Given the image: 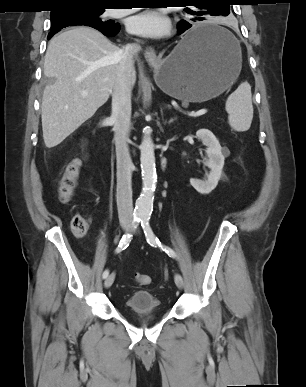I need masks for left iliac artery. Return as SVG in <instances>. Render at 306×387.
<instances>
[{"label": "left iliac artery", "instance_id": "1", "mask_svg": "<svg viewBox=\"0 0 306 387\" xmlns=\"http://www.w3.org/2000/svg\"><path fill=\"white\" fill-rule=\"evenodd\" d=\"M141 226L143 228L146 240L151 246H155V247L158 246L165 253H167L170 257H173V258L176 257L175 252L171 248H169L168 246L162 245L161 242L158 240V238L155 236V234L152 231V228L150 227L148 217H144L141 219Z\"/></svg>", "mask_w": 306, "mask_h": 387}]
</instances>
